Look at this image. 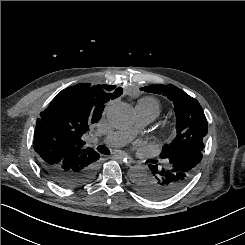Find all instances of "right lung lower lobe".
I'll return each instance as SVG.
<instances>
[{"instance_id":"1","label":"right lung lower lobe","mask_w":245,"mask_h":245,"mask_svg":"<svg viewBox=\"0 0 245 245\" xmlns=\"http://www.w3.org/2000/svg\"><path fill=\"white\" fill-rule=\"evenodd\" d=\"M99 158L100 155L95 152L71 156L55 165L39 163L52 181L61 187L72 189L85 185L95 177Z\"/></svg>"}]
</instances>
